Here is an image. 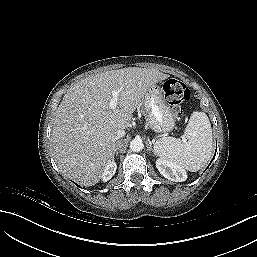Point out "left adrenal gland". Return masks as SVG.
<instances>
[{
	"label": "left adrenal gland",
	"mask_w": 257,
	"mask_h": 257,
	"mask_svg": "<svg viewBox=\"0 0 257 257\" xmlns=\"http://www.w3.org/2000/svg\"><path fill=\"white\" fill-rule=\"evenodd\" d=\"M148 150L153 152L152 143L149 141L147 144Z\"/></svg>",
	"instance_id": "1"
}]
</instances>
